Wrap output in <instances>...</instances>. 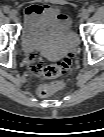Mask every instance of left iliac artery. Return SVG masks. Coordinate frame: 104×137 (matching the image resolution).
Returning <instances> with one entry per match:
<instances>
[{"mask_svg":"<svg viewBox=\"0 0 104 137\" xmlns=\"http://www.w3.org/2000/svg\"><path fill=\"white\" fill-rule=\"evenodd\" d=\"M88 10H89V12H94L95 11V7L91 5V6H89Z\"/></svg>","mask_w":104,"mask_h":137,"instance_id":"obj_1","label":"left iliac artery"}]
</instances>
